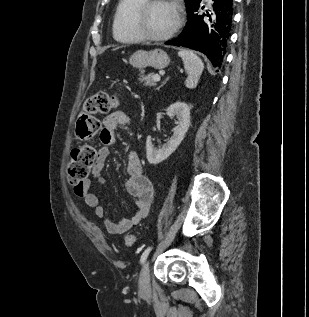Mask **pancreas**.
<instances>
[{
    "instance_id": "cf45deb5",
    "label": "pancreas",
    "mask_w": 309,
    "mask_h": 317,
    "mask_svg": "<svg viewBox=\"0 0 309 317\" xmlns=\"http://www.w3.org/2000/svg\"><path fill=\"white\" fill-rule=\"evenodd\" d=\"M153 74H149V75H141L139 78V81L141 83H143L144 86H148V87H152L156 85V81H154L153 79Z\"/></svg>"
}]
</instances>
